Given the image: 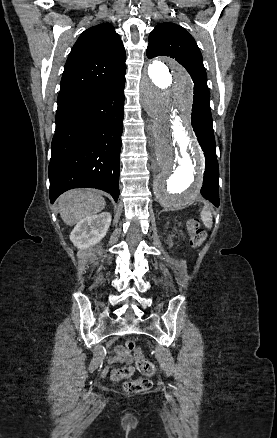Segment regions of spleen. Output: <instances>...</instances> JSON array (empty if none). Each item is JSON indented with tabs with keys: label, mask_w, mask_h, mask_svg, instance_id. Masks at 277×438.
Listing matches in <instances>:
<instances>
[{
	"label": "spleen",
	"mask_w": 277,
	"mask_h": 438,
	"mask_svg": "<svg viewBox=\"0 0 277 438\" xmlns=\"http://www.w3.org/2000/svg\"><path fill=\"white\" fill-rule=\"evenodd\" d=\"M201 220L205 226V228H212V214L208 208V206H204L201 212Z\"/></svg>",
	"instance_id": "3e777b00"
}]
</instances>
